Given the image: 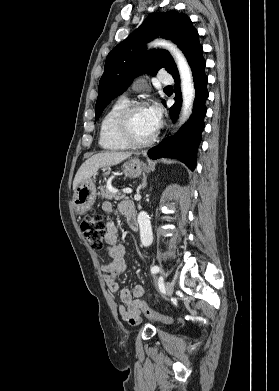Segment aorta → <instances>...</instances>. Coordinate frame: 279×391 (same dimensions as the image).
<instances>
[{
	"instance_id": "obj_1",
	"label": "aorta",
	"mask_w": 279,
	"mask_h": 391,
	"mask_svg": "<svg viewBox=\"0 0 279 391\" xmlns=\"http://www.w3.org/2000/svg\"><path fill=\"white\" fill-rule=\"evenodd\" d=\"M155 46H161L170 51L177 64L179 75L181 79V91L183 97V104L181 109V123L185 122L191 114L194 98L195 88L190 67L186 58L181 51L172 43L168 41H154ZM138 224L140 227V239L143 246L148 247L152 244L153 234L149 215L145 211L138 214Z\"/></svg>"
}]
</instances>
